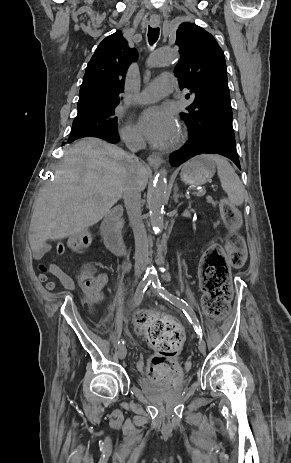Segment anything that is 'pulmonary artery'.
Masks as SVG:
<instances>
[{"instance_id":"obj_1","label":"pulmonary artery","mask_w":291,"mask_h":463,"mask_svg":"<svg viewBox=\"0 0 291 463\" xmlns=\"http://www.w3.org/2000/svg\"><path fill=\"white\" fill-rule=\"evenodd\" d=\"M177 85L176 78L170 74H162L156 77L142 92L138 95L136 102L139 104H148L162 99L173 93Z\"/></svg>"}]
</instances>
